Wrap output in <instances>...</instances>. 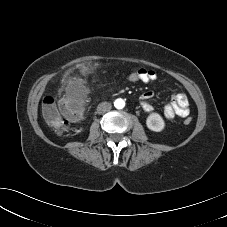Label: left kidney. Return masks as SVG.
<instances>
[{
  "mask_svg": "<svg viewBox=\"0 0 227 227\" xmlns=\"http://www.w3.org/2000/svg\"><path fill=\"white\" fill-rule=\"evenodd\" d=\"M147 127L154 132H160L165 127V122L160 114L151 113L146 119Z\"/></svg>",
  "mask_w": 227,
  "mask_h": 227,
  "instance_id": "5707ae66",
  "label": "left kidney"
}]
</instances>
